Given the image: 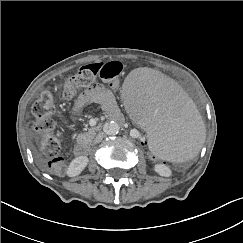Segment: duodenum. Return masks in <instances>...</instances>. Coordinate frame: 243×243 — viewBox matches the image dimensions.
Wrapping results in <instances>:
<instances>
[{
    "label": "duodenum",
    "mask_w": 243,
    "mask_h": 243,
    "mask_svg": "<svg viewBox=\"0 0 243 243\" xmlns=\"http://www.w3.org/2000/svg\"><path fill=\"white\" fill-rule=\"evenodd\" d=\"M114 119L117 120L118 122H123L124 121V118L120 115V114H115L114 115ZM88 144L87 143H84V142H80V143H77L75 145V153L76 155L78 156H84L87 154L88 152Z\"/></svg>",
    "instance_id": "obj_1"
}]
</instances>
